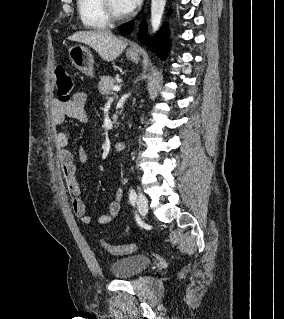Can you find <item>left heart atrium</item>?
Segmentation results:
<instances>
[{
    "mask_svg": "<svg viewBox=\"0 0 284 319\" xmlns=\"http://www.w3.org/2000/svg\"><path fill=\"white\" fill-rule=\"evenodd\" d=\"M120 1H121L123 8L126 10V12L133 11L141 3V0H120Z\"/></svg>",
    "mask_w": 284,
    "mask_h": 319,
    "instance_id": "left-heart-atrium-1",
    "label": "left heart atrium"
}]
</instances>
